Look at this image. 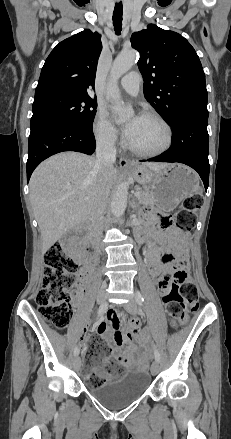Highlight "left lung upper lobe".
<instances>
[{
	"mask_svg": "<svg viewBox=\"0 0 231 439\" xmlns=\"http://www.w3.org/2000/svg\"><path fill=\"white\" fill-rule=\"evenodd\" d=\"M131 44L140 52L144 96L165 121L172 125L185 111L207 109L205 74L184 37L150 24L132 34Z\"/></svg>",
	"mask_w": 231,
	"mask_h": 439,
	"instance_id": "1",
	"label": "left lung upper lobe"
}]
</instances>
